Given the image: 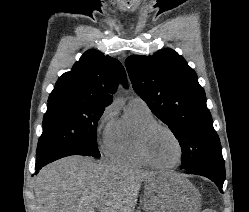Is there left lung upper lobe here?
Returning a JSON list of instances; mask_svg holds the SVG:
<instances>
[{
  "label": "left lung upper lobe",
  "mask_w": 249,
  "mask_h": 212,
  "mask_svg": "<svg viewBox=\"0 0 249 212\" xmlns=\"http://www.w3.org/2000/svg\"><path fill=\"white\" fill-rule=\"evenodd\" d=\"M135 92L154 115L169 126L182 150V169L221 160L219 137L195 71L174 50L125 61Z\"/></svg>",
  "instance_id": "1"
}]
</instances>
